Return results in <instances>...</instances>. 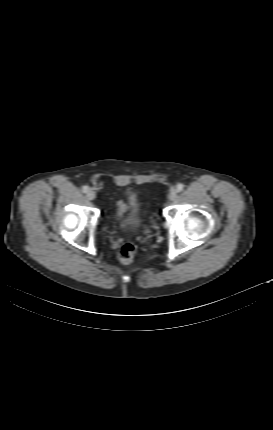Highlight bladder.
<instances>
[{
    "label": "bladder",
    "mask_w": 273,
    "mask_h": 430,
    "mask_svg": "<svg viewBox=\"0 0 273 430\" xmlns=\"http://www.w3.org/2000/svg\"><path fill=\"white\" fill-rule=\"evenodd\" d=\"M142 206L135 194H131L126 203V213L122 218L121 227L124 230L137 228L141 221Z\"/></svg>",
    "instance_id": "bladder-1"
}]
</instances>
